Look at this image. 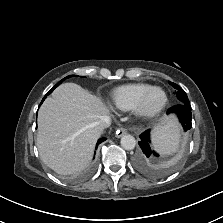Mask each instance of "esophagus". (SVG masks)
Segmentation results:
<instances>
[{
  "instance_id": "obj_1",
  "label": "esophagus",
  "mask_w": 223,
  "mask_h": 223,
  "mask_svg": "<svg viewBox=\"0 0 223 223\" xmlns=\"http://www.w3.org/2000/svg\"><path fill=\"white\" fill-rule=\"evenodd\" d=\"M127 133V129L125 128H120L116 131V137L120 138L121 136H123L124 134Z\"/></svg>"
}]
</instances>
